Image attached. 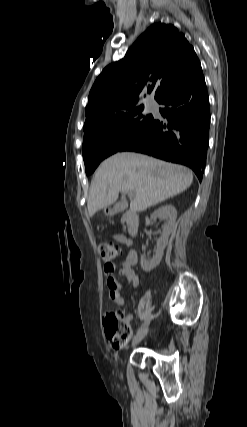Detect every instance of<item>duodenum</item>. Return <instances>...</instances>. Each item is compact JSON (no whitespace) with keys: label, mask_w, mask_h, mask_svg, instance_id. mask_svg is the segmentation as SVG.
I'll return each instance as SVG.
<instances>
[{"label":"duodenum","mask_w":247,"mask_h":427,"mask_svg":"<svg viewBox=\"0 0 247 427\" xmlns=\"http://www.w3.org/2000/svg\"><path fill=\"white\" fill-rule=\"evenodd\" d=\"M127 230L131 236H135L139 227V216L134 211H127L124 214Z\"/></svg>","instance_id":"duodenum-1"}]
</instances>
